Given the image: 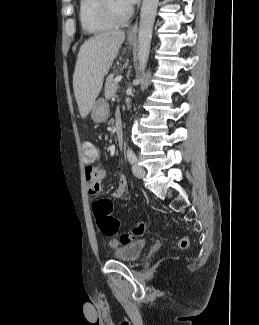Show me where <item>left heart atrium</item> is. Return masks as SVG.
<instances>
[{"mask_svg": "<svg viewBox=\"0 0 259 325\" xmlns=\"http://www.w3.org/2000/svg\"><path fill=\"white\" fill-rule=\"evenodd\" d=\"M127 6L133 5L137 0H122Z\"/></svg>", "mask_w": 259, "mask_h": 325, "instance_id": "obj_1", "label": "left heart atrium"}]
</instances>
